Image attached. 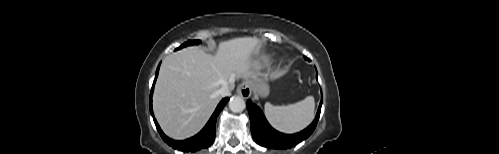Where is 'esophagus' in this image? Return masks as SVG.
I'll list each match as a JSON object with an SVG mask.
<instances>
[{
  "mask_svg": "<svg viewBox=\"0 0 499 154\" xmlns=\"http://www.w3.org/2000/svg\"><path fill=\"white\" fill-rule=\"evenodd\" d=\"M251 84L249 81H243L237 87V93L243 98H249L251 95Z\"/></svg>",
  "mask_w": 499,
  "mask_h": 154,
  "instance_id": "1",
  "label": "esophagus"
}]
</instances>
